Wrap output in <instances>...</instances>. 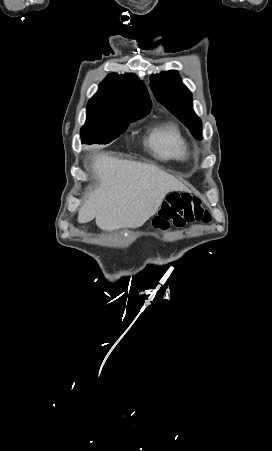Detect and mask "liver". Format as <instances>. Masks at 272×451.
Returning <instances> with one entry per match:
<instances>
[{"instance_id": "obj_1", "label": "liver", "mask_w": 272, "mask_h": 451, "mask_svg": "<svg viewBox=\"0 0 272 451\" xmlns=\"http://www.w3.org/2000/svg\"><path fill=\"white\" fill-rule=\"evenodd\" d=\"M91 168L100 184L87 192L78 222L86 224L95 218L97 226L106 231L143 226L168 192H189L177 178L152 164L97 154Z\"/></svg>"}]
</instances>
